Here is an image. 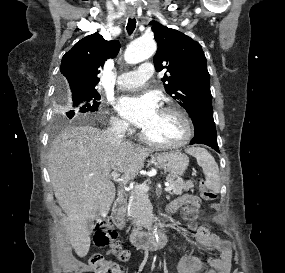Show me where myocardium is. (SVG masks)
<instances>
[{
  "label": "myocardium",
  "instance_id": "f54148a6",
  "mask_svg": "<svg viewBox=\"0 0 285 273\" xmlns=\"http://www.w3.org/2000/svg\"><path fill=\"white\" fill-rule=\"evenodd\" d=\"M161 111L175 114L180 119L184 128L182 137L173 142H157L149 139L143 133V131H141L139 134L141 141L150 146L164 149H176L188 144L194 135V125L187 112L183 108L175 104L167 105L163 107Z\"/></svg>",
  "mask_w": 285,
  "mask_h": 273
}]
</instances>
